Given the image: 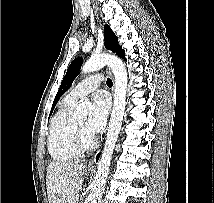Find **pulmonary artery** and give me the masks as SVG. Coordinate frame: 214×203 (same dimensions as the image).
I'll use <instances>...</instances> for the list:
<instances>
[{
	"instance_id": "pulmonary-artery-1",
	"label": "pulmonary artery",
	"mask_w": 214,
	"mask_h": 203,
	"mask_svg": "<svg viewBox=\"0 0 214 203\" xmlns=\"http://www.w3.org/2000/svg\"><path fill=\"white\" fill-rule=\"evenodd\" d=\"M104 78L101 74H95L89 76L78 83L67 95L73 101H79L89 93L95 91L100 84L103 82Z\"/></svg>"
}]
</instances>
